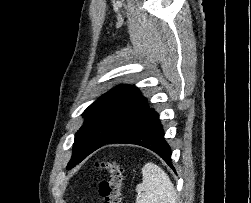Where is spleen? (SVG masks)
<instances>
[{
	"instance_id": "1",
	"label": "spleen",
	"mask_w": 251,
	"mask_h": 203,
	"mask_svg": "<svg viewBox=\"0 0 251 203\" xmlns=\"http://www.w3.org/2000/svg\"><path fill=\"white\" fill-rule=\"evenodd\" d=\"M142 174V183L136 187L137 203H177L174 185L162 168L148 162Z\"/></svg>"
}]
</instances>
